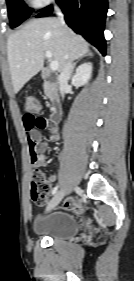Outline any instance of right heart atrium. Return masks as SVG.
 Listing matches in <instances>:
<instances>
[{
  "label": "right heart atrium",
  "mask_w": 134,
  "mask_h": 281,
  "mask_svg": "<svg viewBox=\"0 0 134 281\" xmlns=\"http://www.w3.org/2000/svg\"><path fill=\"white\" fill-rule=\"evenodd\" d=\"M54 0H29V2L36 8H44L50 5Z\"/></svg>",
  "instance_id": "1"
}]
</instances>
